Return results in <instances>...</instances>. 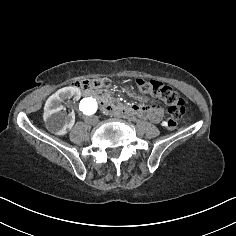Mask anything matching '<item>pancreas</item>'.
<instances>
[{
	"label": "pancreas",
	"instance_id": "cf45deb5",
	"mask_svg": "<svg viewBox=\"0 0 236 236\" xmlns=\"http://www.w3.org/2000/svg\"><path fill=\"white\" fill-rule=\"evenodd\" d=\"M110 96H111L110 92L108 90H105L101 97L103 100H105L107 98H110Z\"/></svg>",
	"mask_w": 236,
	"mask_h": 236
}]
</instances>
